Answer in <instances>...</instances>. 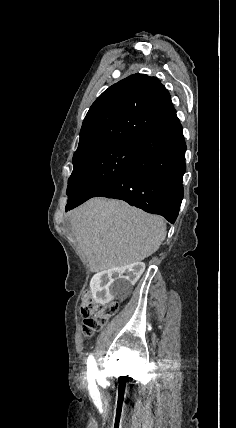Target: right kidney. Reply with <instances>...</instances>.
<instances>
[{
	"mask_svg": "<svg viewBox=\"0 0 236 428\" xmlns=\"http://www.w3.org/2000/svg\"><path fill=\"white\" fill-rule=\"evenodd\" d=\"M146 266L144 262H133L128 266L114 269H100L91 280L90 288L98 306H109L110 301L131 299L132 286L142 276Z\"/></svg>",
	"mask_w": 236,
	"mask_h": 428,
	"instance_id": "ca27d5eb",
	"label": "right kidney"
}]
</instances>
